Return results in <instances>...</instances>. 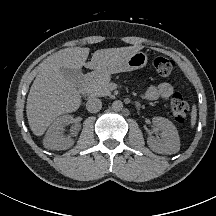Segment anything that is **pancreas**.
<instances>
[{"label": "pancreas", "mask_w": 216, "mask_h": 216, "mask_svg": "<svg viewBox=\"0 0 216 216\" xmlns=\"http://www.w3.org/2000/svg\"><path fill=\"white\" fill-rule=\"evenodd\" d=\"M87 93L92 97H102L111 95L110 76H98L87 85ZM151 105H153L151 103Z\"/></svg>", "instance_id": "1"}]
</instances>
